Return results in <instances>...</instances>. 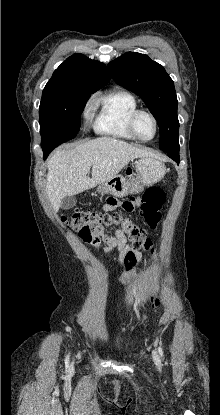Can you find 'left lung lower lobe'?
Returning a JSON list of instances; mask_svg holds the SVG:
<instances>
[{"label":"left lung lower lobe","mask_w":220,"mask_h":415,"mask_svg":"<svg viewBox=\"0 0 220 415\" xmlns=\"http://www.w3.org/2000/svg\"><path fill=\"white\" fill-rule=\"evenodd\" d=\"M165 152V151H164ZM171 159H173L177 164L180 162L179 151H167L165 152Z\"/></svg>","instance_id":"left-lung-lower-lobe-1"}]
</instances>
